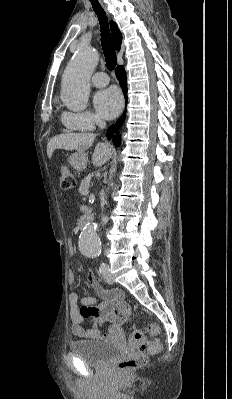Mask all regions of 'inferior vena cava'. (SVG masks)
<instances>
[{
  "instance_id": "602c4592",
  "label": "inferior vena cava",
  "mask_w": 232,
  "mask_h": 399,
  "mask_svg": "<svg viewBox=\"0 0 232 399\" xmlns=\"http://www.w3.org/2000/svg\"><path fill=\"white\" fill-rule=\"evenodd\" d=\"M96 126H99V128H101V130H103V128H105L106 124H105V122H103V120H96ZM101 207L103 209L104 201H102Z\"/></svg>"
}]
</instances>
